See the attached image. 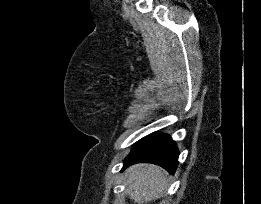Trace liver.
I'll return each mask as SVG.
<instances>
[{
  "mask_svg": "<svg viewBox=\"0 0 261 204\" xmlns=\"http://www.w3.org/2000/svg\"><path fill=\"white\" fill-rule=\"evenodd\" d=\"M126 174V192L136 204H147L161 197L167 187L165 173L155 165L136 164Z\"/></svg>",
  "mask_w": 261,
  "mask_h": 204,
  "instance_id": "liver-1",
  "label": "liver"
}]
</instances>
